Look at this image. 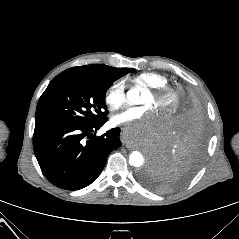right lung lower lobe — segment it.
Instances as JSON below:
<instances>
[{
    "mask_svg": "<svg viewBox=\"0 0 239 239\" xmlns=\"http://www.w3.org/2000/svg\"><path fill=\"white\" fill-rule=\"evenodd\" d=\"M106 118L93 124L36 123L33 148L45 177L55 186L78 190L90 185L103 170L107 156L121 146L120 129L92 136Z\"/></svg>",
    "mask_w": 239,
    "mask_h": 239,
    "instance_id": "right-lung-lower-lobe-1",
    "label": "right lung lower lobe"
}]
</instances>
